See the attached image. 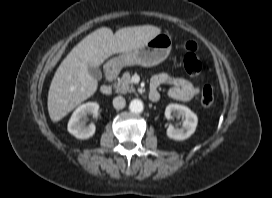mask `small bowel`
<instances>
[{"label":"small bowel","mask_w":272,"mask_h":198,"mask_svg":"<svg viewBox=\"0 0 272 198\" xmlns=\"http://www.w3.org/2000/svg\"><path fill=\"white\" fill-rule=\"evenodd\" d=\"M169 84L168 96L180 100L189 101L199 92L196 84L186 77H172L166 73H161L153 77L151 89L157 90L160 84Z\"/></svg>","instance_id":"small-bowel-1"}]
</instances>
